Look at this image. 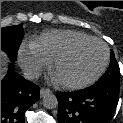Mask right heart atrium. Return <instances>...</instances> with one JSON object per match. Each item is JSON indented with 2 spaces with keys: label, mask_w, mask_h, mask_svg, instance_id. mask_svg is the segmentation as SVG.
<instances>
[{
  "label": "right heart atrium",
  "mask_w": 123,
  "mask_h": 123,
  "mask_svg": "<svg viewBox=\"0 0 123 123\" xmlns=\"http://www.w3.org/2000/svg\"><path fill=\"white\" fill-rule=\"evenodd\" d=\"M18 58L25 75L31 79L37 78L50 64L45 56L31 46L21 47Z\"/></svg>",
  "instance_id": "right-heart-atrium-1"
}]
</instances>
